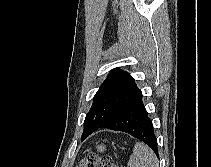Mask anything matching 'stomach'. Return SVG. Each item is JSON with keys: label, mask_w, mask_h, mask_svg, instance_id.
<instances>
[{"label": "stomach", "mask_w": 211, "mask_h": 167, "mask_svg": "<svg viewBox=\"0 0 211 167\" xmlns=\"http://www.w3.org/2000/svg\"><path fill=\"white\" fill-rule=\"evenodd\" d=\"M105 149H106L105 145H103V144L97 145V150H98L99 152H104Z\"/></svg>", "instance_id": "stomach-1"}]
</instances>
